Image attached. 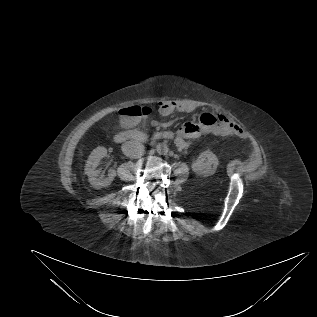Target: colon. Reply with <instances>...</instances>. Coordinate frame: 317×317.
I'll use <instances>...</instances> for the list:
<instances>
[{"instance_id":"5ec220e1","label":"colon","mask_w":317,"mask_h":317,"mask_svg":"<svg viewBox=\"0 0 317 317\" xmlns=\"http://www.w3.org/2000/svg\"><path fill=\"white\" fill-rule=\"evenodd\" d=\"M153 112L154 109L150 106H130L124 109L123 114L128 117L139 118L151 115ZM200 119L202 122L209 125L215 124L218 121L217 116L210 114H203Z\"/></svg>"}]
</instances>
